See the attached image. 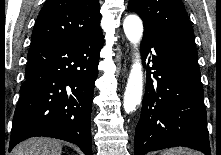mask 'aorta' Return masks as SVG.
Segmentation results:
<instances>
[{
	"mask_svg": "<svg viewBox=\"0 0 221 155\" xmlns=\"http://www.w3.org/2000/svg\"><path fill=\"white\" fill-rule=\"evenodd\" d=\"M123 29L127 39L136 46L143 34V24L137 15H128L123 22ZM131 71L128 77L126 90L124 93V110L131 113L136 110V106L141 102L143 89V72L139 54H135Z\"/></svg>",
	"mask_w": 221,
	"mask_h": 155,
	"instance_id": "obj_1",
	"label": "aorta"
}]
</instances>
